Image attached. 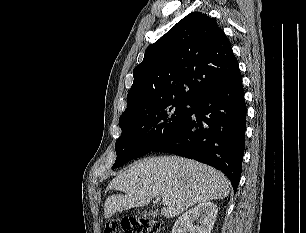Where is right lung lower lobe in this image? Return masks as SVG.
<instances>
[{
    "label": "right lung lower lobe",
    "mask_w": 306,
    "mask_h": 233,
    "mask_svg": "<svg viewBox=\"0 0 306 233\" xmlns=\"http://www.w3.org/2000/svg\"><path fill=\"white\" fill-rule=\"evenodd\" d=\"M241 74L210 92L154 151L174 153L221 170L236 192L245 148L246 104Z\"/></svg>",
    "instance_id": "right-lung-lower-lobe-1"
}]
</instances>
